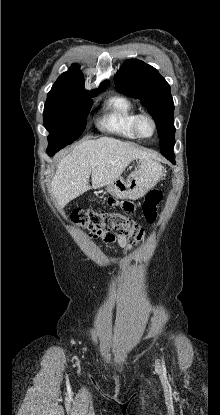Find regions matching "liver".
<instances>
[{
	"mask_svg": "<svg viewBox=\"0 0 220 415\" xmlns=\"http://www.w3.org/2000/svg\"><path fill=\"white\" fill-rule=\"evenodd\" d=\"M150 158L149 152L111 137L83 141L57 164L51 183L57 205L64 207L90 188L110 184L131 161ZM90 175L92 186L88 184Z\"/></svg>",
	"mask_w": 220,
	"mask_h": 415,
	"instance_id": "1",
	"label": "liver"
}]
</instances>
